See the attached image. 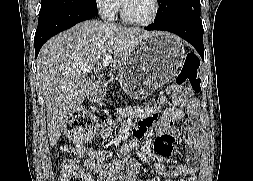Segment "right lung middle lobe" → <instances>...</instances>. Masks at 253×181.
Here are the masks:
<instances>
[{"label":"right lung middle lobe","instance_id":"right-lung-middle-lobe-1","mask_svg":"<svg viewBox=\"0 0 253 181\" xmlns=\"http://www.w3.org/2000/svg\"><path fill=\"white\" fill-rule=\"evenodd\" d=\"M71 8L98 11L96 0H41L39 19Z\"/></svg>","mask_w":253,"mask_h":181}]
</instances>
